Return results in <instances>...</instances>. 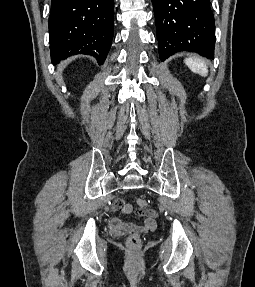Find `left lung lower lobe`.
Returning a JSON list of instances; mask_svg holds the SVG:
<instances>
[{"instance_id": "obj_1", "label": "left lung lower lobe", "mask_w": 255, "mask_h": 287, "mask_svg": "<svg viewBox=\"0 0 255 287\" xmlns=\"http://www.w3.org/2000/svg\"><path fill=\"white\" fill-rule=\"evenodd\" d=\"M160 59L179 51L214 58L215 25L210 0H152Z\"/></svg>"}]
</instances>
